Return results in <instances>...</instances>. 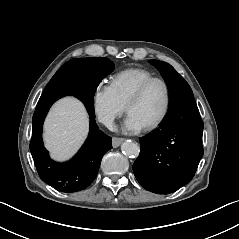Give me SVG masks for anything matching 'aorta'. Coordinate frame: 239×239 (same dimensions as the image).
<instances>
[{
    "mask_svg": "<svg viewBox=\"0 0 239 239\" xmlns=\"http://www.w3.org/2000/svg\"><path fill=\"white\" fill-rule=\"evenodd\" d=\"M122 151L127 156L138 157L140 154V146L133 141H125L122 145Z\"/></svg>",
    "mask_w": 239,
    "mask_h": 239,
    "instance_id": "762f6f07",
    "label": "aorta"
}]
</instances>
